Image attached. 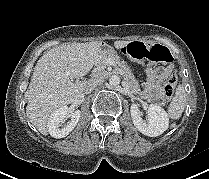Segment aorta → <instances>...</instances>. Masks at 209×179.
<instances>
[{"label": "aorta", "instance_id": "1", "mask_svg": "<svg viewBox=\"0 0 209 179\" xmlns=\"http://www.w3.org/2000/svg\"><path fill=\"white\" fill-rule=\"evenodd\" d=\"M120 83V77L117 76V75H112L110 78H109V84L111 86H117L118 84Z\"/></svg>", "mask_w": 209, "mask_h": 179}]
</instances>
